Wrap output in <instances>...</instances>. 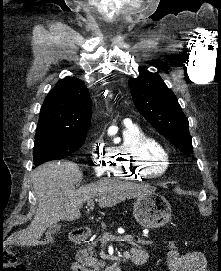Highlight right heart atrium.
I'll list each match as a JSON object with an SVG mask.
<instances>
[{"mask_svg":"<svg viewBox=\"0 0 221 271\" xmlns=\"http://www.w3.org/2000/svg\"><path fill=\"white\" fill-rule=\"evenodd\" d=\"M96 149L98 151H93L95 157L90 159L93 162L91 169L98 170L96 177H106L107 173H114V171H110L111 161H116L115 157L118 154H114L113 151H99L101 149L99 146Z\"/></svg>","mask_w":221,"mask_h":271,"instance_id":"d8ad5b80","label":"right heart atrium"}]
</instances>
